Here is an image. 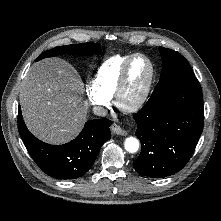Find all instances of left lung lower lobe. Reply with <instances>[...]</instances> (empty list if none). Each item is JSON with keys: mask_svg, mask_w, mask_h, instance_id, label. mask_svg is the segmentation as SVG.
I'll return each mask as SVG.
<instances>
[{"mask_svg": "<svg viewBox=\"0 0 221 221\" xmlns=\"http://www.w3.org/2000/svg\"><path fill=\"white\" fill-rule=\"evenodd\" d=\"M141 153L133 162L138 174L163 178L181 170L203 131V95L196 78L152 93L134 115Z\"/></svg>", "mask_w": 221, "mask_h": 221, "instance_id": "obj_1", "label": "left lung lower lobe"}]
</instances>
